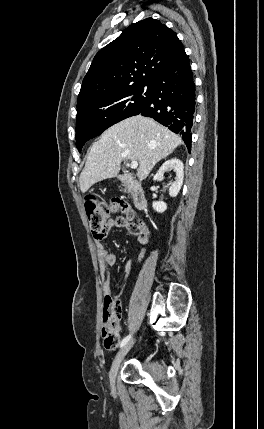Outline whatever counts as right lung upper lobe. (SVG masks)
<instances>
[{"label": "right lung upper lobe", "instance_id": "cb5924a9", "mask_svg": "<svg viewBox=\"0 0 264 429\" xmlns=\"http://www.w3.org/2000/svg\"><path fill=\"white\" fill-rule=\"evenodd\" d=\"M183 52L176 33L159 20L130 25L94 57L77 107L133 85L152 84Z\"/></svg>", "mask_w": 264, "mask_h": 429}]
</instances>
